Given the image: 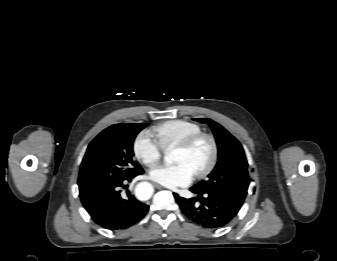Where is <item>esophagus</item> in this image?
<instances>
[{
    "label": "esophagus",
    "instance_id": "obj_1",
    "mask_svg": "<svg viewBox=\"0 0 337 261\" xmlns=\"http://www.w3.org/2000/svg\"><path fill=\"white\" fill-rule=\"evenodd\" d=\"M154 186H155L157 189H163V188H164L163 186H161V185H159V184H157V183H154Z\"/></svg>",
    "mask_w": 337,
    "mask_h": 261
}]
</instances>
